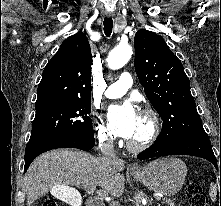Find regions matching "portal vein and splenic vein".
Segmentation results:
<instances>
[{"mask_svg": "<svg viewBox=\"0 0 221 206\" xmlns=\"http://www.w3.org/2000/svg\"><path fill=\"white\" fill-rule=\"evenodd\" d=\"M55 190H58V189H55ZM87 192L90 193V194H93L95 193L96 196L100 199H105L107 197V194L104 192V191H101V190H95V187H91L89 189H87ZM157 200H160L159 198H157Z\"/></svg>", "mask_w": 221, "mask_h": 206, "instance_id": "portal-vein-and-splenic-vein-1", "label": "portal vein and splenic vein"}]
</instances>
